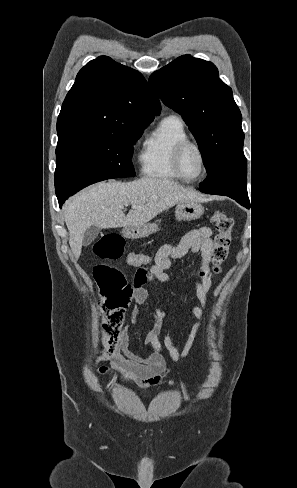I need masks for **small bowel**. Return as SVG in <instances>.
Returning <instances> with one entry per match:
<instances>
[{"label":"small bowel","mask_w":297,"mask_h":488,"mask_svg":"<svg viewBox=\"0 0 297 488\" xmlns=\"http://www.w3.org/2000/svg\"><path fill=\"white\" fill-rule=\"evenodd\" d=\"M212 251V231L209 227L203 226L187 232L180 240L157 247L153 259L142 253L131 252L128 254L126 261L129 265L146 267V281L134 288L131 300L150 311L153 319V326L147 331L144 337L146 347H153V351L140 355L129 348L128 337L125 332L122 333L116 353L112 356L111 365L99 368L97 374L99 377L108 380L117 371L128 382L133 383L138 389L144 390L159 386L165 383V377L168 369L166 366L165 355L159 348V335L161 333L162 320L169 314V309L160 307L162 297L157 301L155 309H150V296L145 284L160 289L163 284L170 281L167 273L177 261L184 258L189 253L199 254L197 261L198 272L197 278L192 281L195 288L196 296L200 306H189L185 309L187 314L202 320L206 317L208 308V295L211 287L212 272L210 268V256ZM145 259V260H144ZM135 260V261H134ZM153 262L152 265L146 266ZM176 319V314L171 317V323ZM202 328V323L198 322L192 330L179 351L172 330H167L164 335V345L172 361L177 362L185 358L191 351L195 337ZM170 382L169 384H172Z\"/></svg>","instance_id":"obj_1"}]
</instances>
